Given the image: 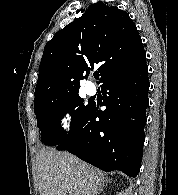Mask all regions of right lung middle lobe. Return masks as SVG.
Returning a JSON list of instances; mask_svg holds the SVG:
<instances>
[{"label":"right lung middle lobe","instance_id":"right-lung-middle-lobe-1","mask_svg":"<svg viewBox=\"0 0 178 195\" xmlns=\"http://www.w3.org/2000/svg\"><path fill=\"white\" fill-rule=\"evenodd\" d=\"M91 103L85 104L78 93L65 97L45 101L35 107L37 126L41 131V141L54 146L64 139H70L77 127L79 120L89 110ZM70 112L72 117L70 130L67 132L61 127V119Z\"/></svg>","mask_w":178,"mask_h":195}]
</instances>
